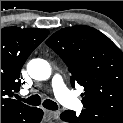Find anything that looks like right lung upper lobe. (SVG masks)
I'll return each instance as SVG.
<instances>
[{"label":"right lung upper lobe","mask_w":123,"mask_h":123,"mask_svg":"<svg viewBox=\"0 0 123 123\" xmlns=\"http://www.w3.org/2000/svg\"><path fill=\"white\" fill-rule=\"evenodd\" d=\"M48 34L47 29H1V120L29 107L13 95L19 91L23 64Z\"/></svg>","instance_id":"obj_1"}]
</instances>
